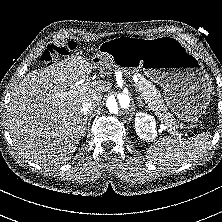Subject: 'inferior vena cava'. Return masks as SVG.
Returning a JSON list of instances; mask_svg holds the SVG:
<instances>
[{
    "label": "inferior vena cava",
    "instance_id": "obj_1",
    "mask_svg": "<svg viewBox=\"0 0 222 222\" xmlns=\"http://www.w3.org/2000/svg\"><path fill=\"white\" fill-rule=\"evenodd\" d=\"M96 108V102L94 99H88V100H85L83 103H82V107L80 109V112L81 114L83 115H87L89 114L90 112H92L93 109Z\"/></svg>",
    "mask_w": 222,
    "mask_h": 222
}]
</instances>
